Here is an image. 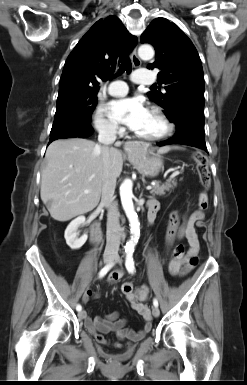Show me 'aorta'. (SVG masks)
<instances>
[{
	"instance_id": "obj_1",
	"label": "aorta",
	"mask_w": 247,
	"mask_h": 385,
	"mask_svg": "<svg viewBox=\"0 0 247 385\" xmlns=\"http://www.w3.org/2000/svg\"><path fill=\"white\" fill-rule=\"evenodd\" d=\"M138 55L143 60L152 59L154 56V49L151 45H141L138 49ZM132 181L126 179L120 186V198L123 209L126 213V216L129 220L130 230H131V239L127 242L125 250L133 251L136 243L138 242L140 235V223L138 221L137 213L135 212L133 205V193H132Z\"/></svg>"
}]
</instances>
